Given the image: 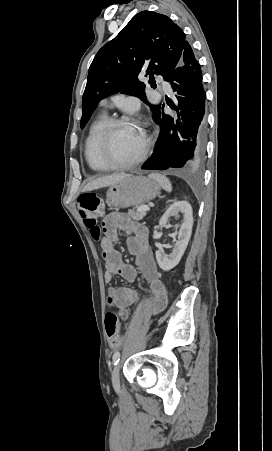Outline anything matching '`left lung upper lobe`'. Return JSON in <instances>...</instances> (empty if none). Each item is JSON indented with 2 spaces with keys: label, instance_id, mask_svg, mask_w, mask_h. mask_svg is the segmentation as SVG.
Here are the masks:
<instances>
[{
  "label": "left lung upper lobe",
  "instance_id": "obj_1",
  "mask_svg": "<svg viewBox=\"0 0 272 451\" xmlns=\"http://www.w3.org/2000/svg\"><path fill=\"white\" fill-rule=\"evenodd\" d=\"M187 44L182 29L168 16L150 11L135 15L98 51L90 65L80 127L84 128L101 99L118 91L147 103L156 122L160 108L147 102L145 85L138 81V75L146 70L150 78L157 74L168 80Z\"/></svg>",
  "mask_w": 272,
  "mask_h": 451
}]
</instances>
